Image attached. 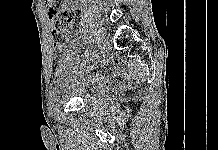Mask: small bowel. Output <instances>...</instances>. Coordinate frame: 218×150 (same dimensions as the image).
Instances as JSON below:
<instances>
[{
	"instance_id": "obj_1",
	"label": "small bowel",
	"mask_w": 218,
	"mask_h": 150,
	"mask_svg": "<svg viewBox=\"0 0 218 150\" xmlns=\"http://www.w3.org/2000/svg\"><path fill=\"white\" fill-rule=\"evenodd\" d=\"M47 16L52 26V35L60 30H71L75 20V4L73 0H63L60 7H56V0H45Z\"/></svg>"
}]
</instances>
